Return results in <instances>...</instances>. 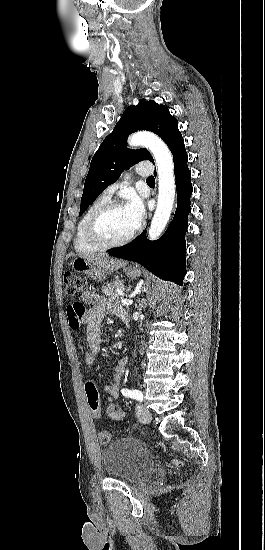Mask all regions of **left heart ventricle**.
Masks as SVG:
<instances>
[{
    "label": "left heart ventricle",
    "instance_id": "obj_1",
    "mask_svg": "<svg viewBox=\"0 0 265 550\" xmlns=\"http://www.w3.org/2000/svg\"><path fill=\"white\" fill-rule=\"evenodd\" d=\"M134 229L132 220L125 207L111 211L99 222L101 234L110 241L123 239Z\"/></svg>",
    "mask_w": 265,
    "mask_h": 550
}]
</instances>
